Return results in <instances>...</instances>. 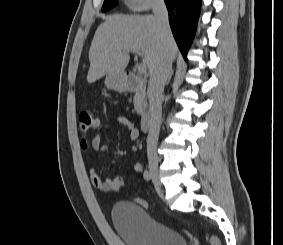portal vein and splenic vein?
<instances>
[{
  "label": "portal vein and splenic vein",
  "mask_w": 283,
  "mask_h": 245,
  "mask_svg": "<svg viewBox=\"0 0 283 245\" xmlns=\"http://www.w3.org/2000/svg\"><path fill=\"white\" fill-rule=\"evenodd\" d=\"M137 71H138V73H140V74L146 73V71H147V66H146V64H145V63L138 64V65H137Z\"/></svg>",
  "instance_id": "18ae733b"
}]
</instances>
